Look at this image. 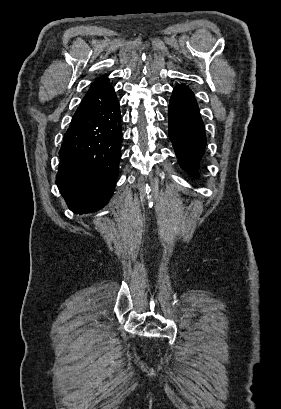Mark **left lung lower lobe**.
Instances as JSON below:
<instances>
[{"mask_svg":"<svg viewBox=\"0 0 281 409\" xmlns=\"http://www.w3.org/2000/svg\"><path fill=\"white\" fill-rule=\"evenodd\" d=\"M169 137L180 166L196 173L206 146L205 127L194 93L185 85L174 88L169 102Z\"/></svg>","mask_w":281,"mask_h":409,"instance_id":"obj_1","label":"left lung lower lobe"}]
</instances>
